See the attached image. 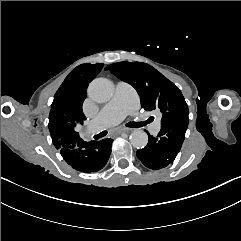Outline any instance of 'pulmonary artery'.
I'll list each match as a JSON object with an SVG mask.
<instances>
[{
    "mask_svg": "<svg viewBox=\"0 0 241 241\" xmlns=\"http://www.w3.org/2000/svg\"><path fill=\"white\" fill-rule=\"evenodd\" d=\"M133 89L126 83H118L113 99L107 103L98 115L90 120L87 129L92 134H97L113 125L123 121L131 111V107L138 104V97L132 93ZM147 132H156L160 127L156 119L150 118L145 121Z\"/></svg>",
    "mask_w": 241,
    "mask_h": 241,
    "instance_id": "1",
    "label": "pulmonary artery"
}]
</instances>
